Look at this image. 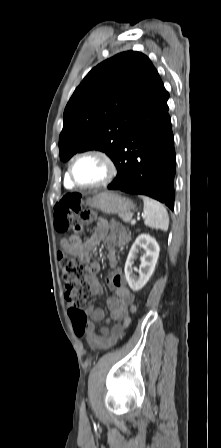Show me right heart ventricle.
<instances>
[{"instance_id":"right-heart-ventricle-1","label":"right heart ventricle","mask_w":221,"mask_h":448,"mask_svg":"<svg viewBox=\"0 0 221 448\" xmlns=\"http://www.w3.org/2000/svg\"><path fill=\"white\" fill-rule=\"evenodd\" d=\"M64 185L67 189H72L75 186L70 182L69 177H68V170L65 173V177H64Z\"/></svg>"}]
</instances>
